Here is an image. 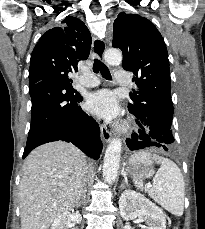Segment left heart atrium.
<instances>
[{
    "label": "left heart atrium",
    "mask_w": 205,
    "mask_h": 229,
    "mask_svg": "<svg viewBox=\"0 0 205 229\" xmlns=\"http://www.w3.org/2000/svg\"><path fill=\"white\" fill-rule=\"evenodd\" d=\"M86 108L91 113L106 119H113L119 113L117 97L110 90H100L90 94L86 100Z\"/></svg>",
    "instance_id": "obj_1"
}]
</instances>
